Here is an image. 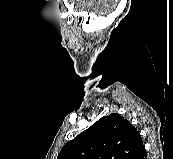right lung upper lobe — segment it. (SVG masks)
<instances>
[{"instance_id":"cb5924a9","label":"right lung upper lobe","mask_w":173,"mask_h":159,"mask_svg":"<svg viewBox=\"0 0 173 159\" xmlns=\"http://www.w3.org/2000/svg\"><path fill=\"white\" fill-rule=\"evenodd\" d=\"M145 152L135 127L120 114H111L66 143L57 159H139Z\"/></svg>"}]
</instances>
